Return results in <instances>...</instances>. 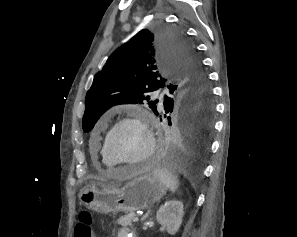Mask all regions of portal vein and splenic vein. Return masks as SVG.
I'll use <instances>...</instances> for the list:
<instances>
[{
  "label": "portal vein and splenic vein",
  "instance_id": "1",
  "mask_svg": "<svg viewBox=\"0 0 297 237\" xmlns=\"http://www.w3.org/2000/svg\"><path fill=\"white\" fill-rule=\"evenodd\" d=\"M139 220V218L138 217H135L134 219H133V222H137Z\"/></svg>",
  "mask_w": 297,
  "mask_h": 237
}]
</instances>
